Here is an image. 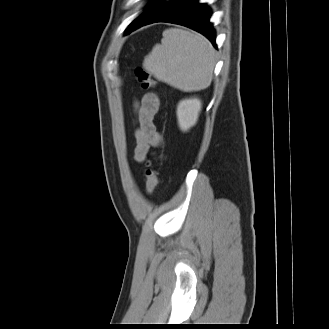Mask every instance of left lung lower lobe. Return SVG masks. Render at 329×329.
<instances>
[{"label": "left lung lower lobe", "mask_w": 329, "mask_h": 329, "mask_svg": "<svg viewBox=\"0 0 329 329\" xmlns=\"http://www.w3.org/2000/svg\"><path fill=\"white\" fill-rule=\"evenodd\" d=\"M155 0L148 10L138 16L126 29V34L144 25L155 22L175 23L189 27L204 36L216 47L215 31L209 22L211 12L205 4L198 0H171L167 2ZM157 6L153 7V5Z\"/></svg>", "instance_id": "1"}]
</instances>
